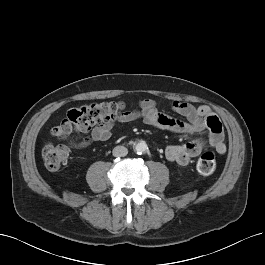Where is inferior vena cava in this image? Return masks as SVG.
<instances>
[{
	"label": "inferior vena cava",
	"mask_w": 265,
	"mask_h": 265,
	"mask_svg": "<svg viewBox=\"0 0 265 265\" xmlns=\"http://www.w3.org/2000/svg\"><path fill=\"white\" fill-rule=\"evenodd\" d=\"M113 156L115 157H124L128 154V149L124 146H116L113 151Z\"/></svg>",
	"instance_id": "obj_1"
}]
</instances>
